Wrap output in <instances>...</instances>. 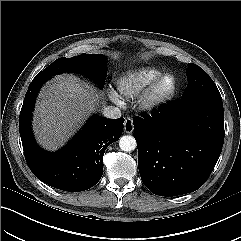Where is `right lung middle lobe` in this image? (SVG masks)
Masks as SVG:
<instances>
[{"label":"right lung middle lobe","instance_id":"right-lung-middle-lobe-1","mask_svg":"<svg viewBox=\"0 0 241 241\" xmlns=\"http://www.w3.org/2000/svg\"><path fill=\"white\" fill-rule=\"evenodd\" d=\"M63 72L83 73L95 80L103 88L107 76L105 59L98 54H81L74 58H59L43 71L38 73L33 80H47L53 75Z\"/></svg>","mask_w":241,"mask_h":241}]
</instances>
